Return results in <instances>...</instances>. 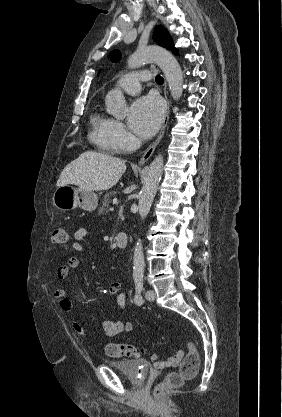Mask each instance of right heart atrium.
<instances>
[{
    "label": "right heart atrium",
    "instance_id": "d8ad5b80",
    "mask_svg": "<svg viewBox=\"0 0 282 417\" xmlns=\"http://www.w3.org/2000/svg\"><path fill=\"white\" fill-rule=\"evenodd\" d=\"M114 138L118 149L128 150L131 147L132 136L120 122H116Z\"/></svg>",
    "mask_w": 282,
    "mask_h": 417
}]
</instances>
